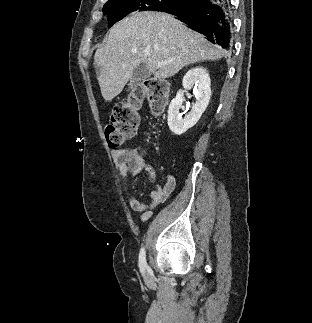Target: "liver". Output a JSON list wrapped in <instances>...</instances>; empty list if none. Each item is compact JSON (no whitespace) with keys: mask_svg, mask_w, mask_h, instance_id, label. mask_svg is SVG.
Instances as JSON below:
<instances>
[{"mask_svg":"<svg viewBox=\"0 0 312 323\" xmlns=\"http://www.w3.org/2000/svg\"><path fill=\"white\" fill-rule=\"evenodd\" d=\"M219 58L222 54L205 36L186 28L172 14L134 12L109 30L105 46L95 52L94 64L101 94L111 102L121 94L139 64H145L154 78L165 80L184 66ZM169 60L173 62L156 68L158 62Z\"/></svg>","mask_w":312,"mask_h":323,"instance_id":"liver-1","label":"liver"}]
</instances>
